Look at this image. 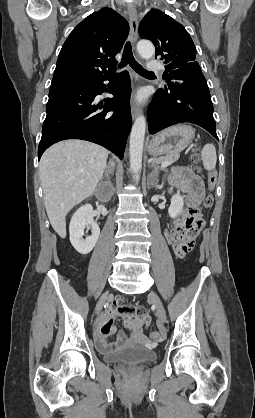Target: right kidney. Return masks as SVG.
Segmentation results:
<instances>
[{"label": "right kidney", "instance_id": "obj_1", "mask_svg": "<svg viewBox=\"0 0 255 418\" xmlns=\"http://www.w3.org/2000/svg\"><path fill=\"white\" fill-rule=\"evenodd\" d=\"M85 228L91 230V236L83 239ZM70 242L77 252L86 255L92 251L98 241L100 229L94 221L93 208L90 204L81 206L72 216L69 226Z\"/></svg>", "mask_w": 255, "mask_h": 418}]
</instances>
